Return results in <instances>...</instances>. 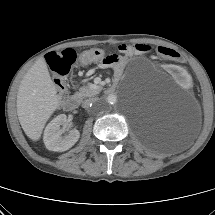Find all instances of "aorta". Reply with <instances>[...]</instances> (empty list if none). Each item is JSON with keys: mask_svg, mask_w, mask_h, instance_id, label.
<instances>
[{"mask_svg": "<svg viewBox=\"0 0 215 215\" xmlns=\"http://www.w3.org/2000/svg\"><path fill=\"white\" fill-rule=\"evenodd\" d=\"M116 100H117L116 96L113 95V94H110V95L106 98L105 102H103L102 104H104L105 106H110V105L115 104V103H116Z\"/></svg>", "mask_w": 215, "mask_h": 215, "instance_id": "1", "label": "aorta"}]
</instances>
